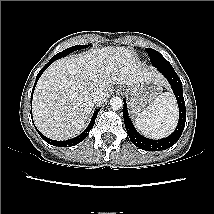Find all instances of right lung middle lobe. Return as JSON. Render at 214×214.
<instances>
[{
    "mask_svg": "<svg viewBox=\"0 0 214 214\" xmlns=\"http://www.w3.org/2000/svg\"><path fill=\"white\" fill-rule=\"evenodd\" d=\"M86 47H87V45H76V46H72V47H70V48H68V49H66V50H64V51L56 54L53 58L60 59L62 57L67 56L71 52H74L76 50H79V49H82V48H86Z\"/></svg>",
    "mask_w": 214,
    "mask_h": 214,
    "instance_id": "right-lung-middle-lobe-1",
    "label": "right lung middle lobe"
}]
</instances>
